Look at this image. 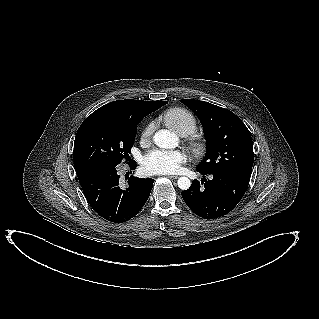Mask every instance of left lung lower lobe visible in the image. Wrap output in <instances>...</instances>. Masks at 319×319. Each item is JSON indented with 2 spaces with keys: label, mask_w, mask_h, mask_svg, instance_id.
<instances>
[{
  "label": "left lung lower lobe",
  "mask_w": 319,
  "mask_h": 319,
  "mask_svg": "<svg viewBox=\"0 0 319 319\" xmlns=\"http://www.w3.org/2000/svg\"><path fill=\"white\" fill-rule=\"evenodd\" d=\"M202 175H207L200 172ZM212 179L203 178L192 182L182 197L188 207L198 216L213 219L232 211L242 199L249 182L230 173H211ZM205 177V176H203ZM205 182V183H203Z\"/></svg>",
  "instance_id": "obj_1"
}]
</instances>
